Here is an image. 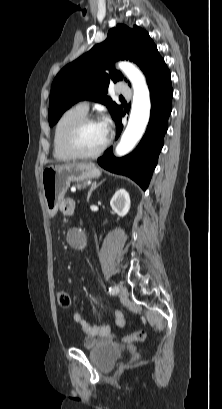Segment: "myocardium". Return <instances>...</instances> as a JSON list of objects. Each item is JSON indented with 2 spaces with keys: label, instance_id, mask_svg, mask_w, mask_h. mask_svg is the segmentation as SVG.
I'll use <instances>...</instances> for the list:
<instances>
[{
  "label": "myocardium",
  "instance_id": "f54148a6",
  "mask_svg": "<svg viewBox=\"0 0 222 409\" xmlns=\"http://www.w3.org/2000/svg\"><path fill=\"white\" fill-rule=\"evenodd\" d=\"M94 122H100V120L91 115H86L80 120H78L68 131L66 138H65V146L67 151L74 157L78 159H95L101 156L104 151L107 149L109 143H110V138L107 136L104 144L102 147L97 150L96 152L93 153H84L82 152L76 143L77 137L80 133V131L88 124L94 123Z\"/></svg>",
  "mask_w": 222,
  "mask_h": 409
}]
</instances>
